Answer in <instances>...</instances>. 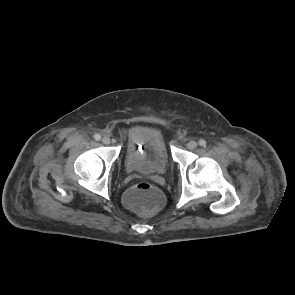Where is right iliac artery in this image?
Here are the masks:
<instances>
[{"label": "right iliac artery", "instance_id": "1", "mask_svg": "<svg viewBox=\"0 0 295 295\" xmlns=\"http://www.w3.org/2000/svg\"><path fill=\"white\" fill-rule=\"evenodd\" d=\"M94 139L99 141L101 139V135L100 134H95Z\"/></svg>", "mask_w": 295, "mask_h": 295}]
</instances>
